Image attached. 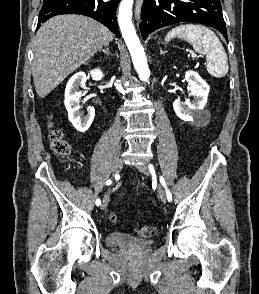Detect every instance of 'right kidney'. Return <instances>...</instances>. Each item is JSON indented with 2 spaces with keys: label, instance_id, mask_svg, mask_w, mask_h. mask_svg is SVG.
I'll return each instance as SVG.
<instances>
[{
  "label": "right kidney",
  "instance_id": "ca27d5eb",
  "mask_svg": "<svg viewBox=\"0 0 259 294\" xmlns=\"http://www.w3.org/2000/svg\"><path fill=\"white\" fill-rule=\"evenodd\" d=\"M90 75L95 81L101 80L104 76L100 69L91 70ZM86 80V74L84 72H78L69 79L65 89L64 104L68 112L69 120L80 132L88 130L95 116V109L93 107H89L87 109L88 113L84 117H81L79 112V100L82 96V92L79 91V87H84Z\"/></svg>",
  "mask_w": 259,
  "mask_h": 294
}]
</instances>
